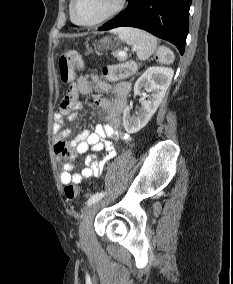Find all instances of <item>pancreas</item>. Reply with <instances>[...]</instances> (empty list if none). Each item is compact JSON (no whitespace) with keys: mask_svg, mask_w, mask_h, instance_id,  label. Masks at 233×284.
I'll use <instances>...</instances> for the list:
<instances>
[{"mask_svg":"<svg viewBox=\"0 0 233 284\" xmlns=\"http://www.w3.org/2000/svg\"><path fill=\"white\" fill-rule=\"evenodd\" d=\"M118 53H119V51H116V52H113L112 54H113V56L118 57V58H120V59H121V57H119V56H118ZM128 65H129V66H130V68H131V72H133V71H136V70H137V66H136V64H135V63L130 62V63H128Z\"/></svg>","mask_w":233,"mask_h":284,"instance_id":"obj_1","label":"pancreas"}]
</instances>
